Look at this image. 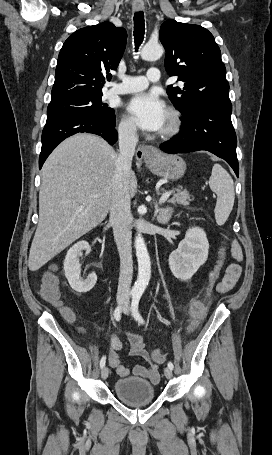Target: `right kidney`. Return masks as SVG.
Returning <instances> with one entry per match:
<instances>
[{
	"instance_id": "right-kidney-1",
	"label": "right kidney",
	"mask_w": 272,
	"mask_h": 455,
	"mask_svg": "<svg viewBox=\"0 0 272 455\" xmlns=\"http://www.w3.org/2000/svg\"><path fill=\"white\" fill-rule=\"evenodd\" d=\"M83 250H86L87 253L91 251L89 243L86 241L77 242L68 250L64 260L65 276L71 288L79 293L90 291L97 281V275L94 272L89 274L85 280L80 278L79 257Z\"/></svg>"
}]
</instances>
